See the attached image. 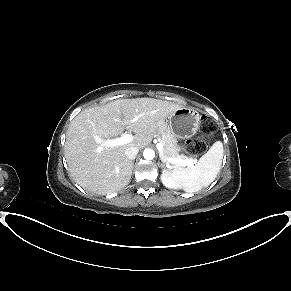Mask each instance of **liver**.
Instances as JSON below:
<instances>
[{
    "mask_svg": "<svg viewBox=\"0 0 291 291\" xmlns=\"http://www.w3.org/2000/svg\"><path fill=\"white\" fill-rule=\"evenodd\" d=\"M180 108L169 101L135 98L83 110L66 133L65 157L71 177L83 189L97 194L120 191L129 183L133 170L132 161L125 156L126 148L146 147L157 128ZM125 129L135 136L120 146H105L94 139L110 140Z\"/></svg>",
    "mask_w": 291,
    "mask_h": 291,
    "instance_id": "1",
    "label": "liver"
}]
</instances>
